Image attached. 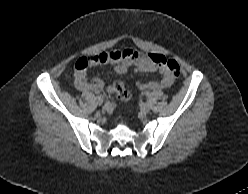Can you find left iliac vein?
I'll use <instances>...</instances> for the list:
<instances>
[{
	"label": "left iliac vein",
	"instance_id": "4c4485c4",
	"mask_svg": "<svg viewBox=\"0 0 248 194\" xmlns=\"http://www.w3.org/2000/svg\"><path fill=\"white\" fill-rule=\"evenodd\" d=\"M141 109H142V112L143 113H148L150 111L151 107H150V105L148 103H144L142 105V108Z\"/></svg>",
	"mask_w": 248,
	"mask_h": 194
}]
</instances>
